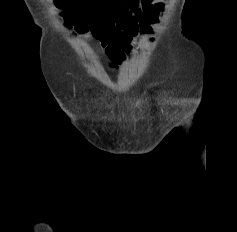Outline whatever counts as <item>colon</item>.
<instances>
[{
  "instance_id": "5ec220e1",
  "label": "colon",
  "mask_w": 237,
  "mask_h": 232,
  "mask_svg": "<svg viewBox=\"0 0 237 232\" xmlns=\"http://www.w3.org/2000/svg\"><path fill=\"white\" fill-rule=\"evenodd\" d=\"M145 0H55L66 20L80 33L98 32L108 19L123 16Z\"/></svg>"
}]
</instances>
